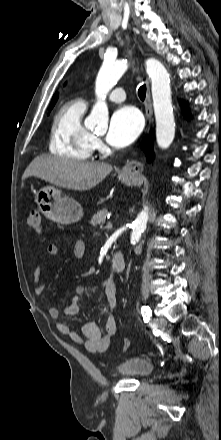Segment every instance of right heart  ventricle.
Returning <instances> with one entry per match:
<instances>
[{"label":"right heart ventricle","instance_id":"e07e8e85","mask_svg":"<svg viewBox=\"0 0 221 440\" xmlns=\"http://www.w3.org/2000/svg\"><path fill=\"white\" fill-rule=\"evenodd\" d=\"M86 104L81 99L65 103L54 117L49 148L58 156L87 160L94 151V135L83 124Z\"/></svg>","mask_w":221,"mask_h":440}]
</instances>
